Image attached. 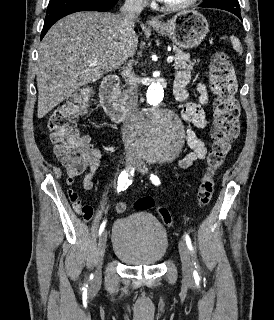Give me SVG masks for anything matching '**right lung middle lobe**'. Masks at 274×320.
Masks as SVG:
<instances>
[{
	"instance_id": "obj_1",
	"label": "right lung middle lobe",
	"mask_w": 274,
	"mask_h": 320,
	"mask_svg": "<svg viewBox=\"0 0 274 320\" xmlns=\"http://www.w3.org/2000/svg\"><path fill=\"white\" fill-rule=\"evenodd\" d=\"M60 1H62V0H50L49 5L58 3V2H60Z\"/></svg>"
}]
</instances>
